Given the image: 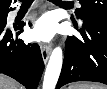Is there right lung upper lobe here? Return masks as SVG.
<instances>
[{
	"mask_svg": "<svg viewBox=\"0 0 107 89\" xmlns=\"http://www.w3.org/2000/svg\"><path fill=\"white\" fill-rule=\"evenodd\" d=\"M10 5H11V0H0V12L9 10Z\"/></svg>",
	"mask_w": 107,
	"mask_h": 89,
	"instance_id": "cb5924a9",
	"label": "right lung upper lobe"
}]
</instances>
